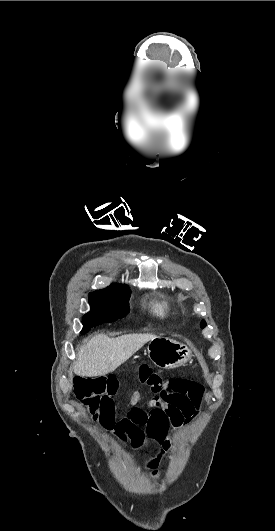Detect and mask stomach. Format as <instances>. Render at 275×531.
Returning <instances> with one entry per match:
<instances>
[{"label":"stomach","mask_w":275,"mask_h":531,"mask_svg":"<svg viewBox=\"0 0 275 531\" xmlns=\"http://www.w3.org/2000/svg\"><path fill=\"white\" fill-rule=\"evenodd\" d=\"M143 353L145 361H152L156 367L161 369H176L186 365L191 361L192 351L187 345L178 343L169 337H155L151 339L148 347Z\"/></svg>","instance_id":"stomach-1"}]
</instances>
